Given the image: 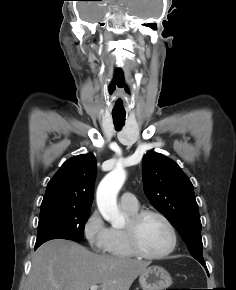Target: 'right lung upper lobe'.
I'll return each instance as SVG.
<instances>
[{
  "label": "right lung upper lobe",
  "mask_w": 236,
  "mask_h": 290,
  "mask_svg": "<svg viewBox=\"0 0 236 290\" xmlns=\"http://www.w3.org/2000/svg\"><path fill=\"white\" fill-rule=\"evenodd\" d=\"M96 158L82 154L68 159L49 181L41 210H88L93 202Z\"/></svg>",
  "instance_id": "obj_1"
}]
</instances>
